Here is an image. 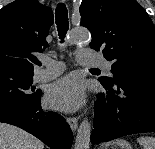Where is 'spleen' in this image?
I'll return each instance as SVG.
<instances>
[{"label":"spleen","instance_id":"obj_1","mask_svg":"<svg viewBox=\"0 0 155 149\" xmlns=\"http://www.w3.org/2000/svg\"><path fill=\"white\" fill-rule=\"evenodd\" d=\"M137 142L143 149H155V138L150 136H142L137 139Z\"/></svg>","mask_w":155,"mask_h":149}]
</instances>
